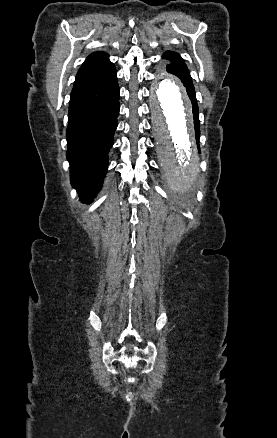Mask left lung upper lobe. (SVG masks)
<instances>
[{
  "label": "left lung upper lobe",
  "mask_w": 277,
  "mask_h": 438,
  "mask_svg": "<svg viewBox=\"0 0 277 438\" xmlns=\"http://www.w3.org/2000/svg\"><path fill=\"white\" fill-rule=\"evenodd\" d=\"M163 58L168 60L166 69L169 73H173L178 76L183 82L184 86L187 87V93L193 103V114L194 116L198 114V107L196 102V95L194 86L192 84V79L184 60L180 55L173 51H167L163 54Z\"/></svg>",
  "instance_id": "obj_1"
}]
</instances>
